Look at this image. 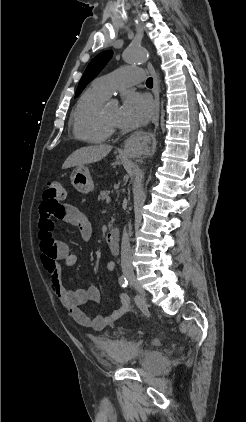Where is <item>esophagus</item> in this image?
<instances>
[{"instance_id": "1", "label": "esophagus", "mask_w": 246, "mask_h": 422, "mask_svg": "<svg viewBox=\"0 0 246 422\" xmlns=\"http://www.w3.org/2000/svg\"><path fill=\"white\" fill-rule=\"evenodd\" d=\"M148 69L153 77V94L155 101V113L152 119V123L155 126V130L159 125V111H160V97H159V82L158 75L153 65L148 62ZM156 148L155 134H142L134 135L130 137L125 145V153L128 155H148L154 152Z\"/></svg>"}]
</instances>
